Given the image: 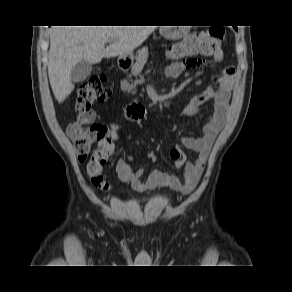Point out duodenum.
Listing matches in <instances>:
<instances>
[{
  "label": "duodenum",
  "instance_id": "obj_1",
  "mask_svg": "<svg viewBox=\"0 0 292 292\" xmlns=\"http://www.w3.org/2000/svg\"><path fill=\"white\" fill-rule=\"evenodd\" d=\"M120 66L122 69H125L127 68V64L125 62H120ZM131 112L134 114H137V115H140L142 113H144V109L140 106H134V107H131Z\"/></svg>",
  "mask_w": 292,
  "mask_h": 292
}]
</instances>
